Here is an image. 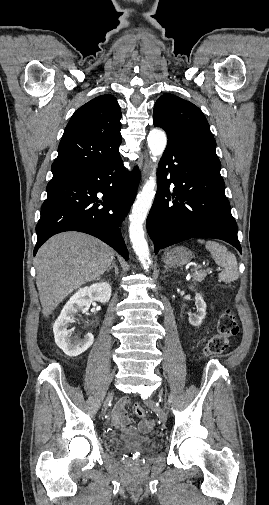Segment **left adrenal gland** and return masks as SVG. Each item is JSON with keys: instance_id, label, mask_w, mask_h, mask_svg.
<instances>
[{"instance_id": "a2214340", "label": "left adrenal gland", "mask_w": 269, "mask_h": 505, "mask_svg": "<svg viewBox=\"0 0 269 505\" xmlns=\"http://www.w3.org/2000/svg\"><path fill=\"white\" fill-rule=\"evenodd\" d=\"M164 271H163V274H165L166 272L170 271V269L167 267V266H164Z\"/></svg>"}]
</instances>
